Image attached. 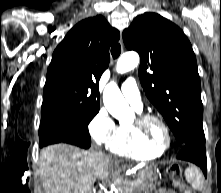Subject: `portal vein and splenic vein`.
<instances>
[{"label": "portal vein and splenic vein", "instance_id": "obj_1", "mask_svg": "<svg viewBox=\"0 0 221 193\" xmlns=\"http://www.w3.org/2000/svg\"><path fill=\"white\" fill-rule=\"evenodd\" d=\"M139 183H140V180H139V179H135V180L132 182V185L137 186Z\"/></svg>", "mask_w": 221, "mask_h": 193}]
</instances>
